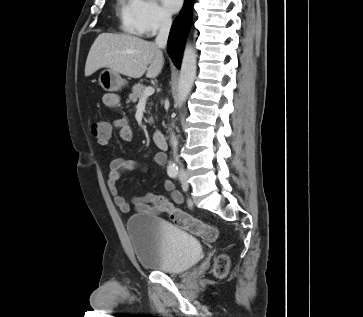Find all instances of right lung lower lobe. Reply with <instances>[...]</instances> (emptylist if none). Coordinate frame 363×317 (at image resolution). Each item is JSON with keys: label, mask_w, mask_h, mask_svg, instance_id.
Listing matches in <instances>:
<instances>
[{"label": "right lung lower lobe", "mask_w": 363, "mask_h": 317, "mask_svg": "<svg viewBox=\"0 0 363 317\" xmlns=\"http://www.w3.org/2000/svg\"><path fill=\"white\" fill-rule=\"evenodd\" d=\"M192 4L193 0H186L180 14L176 17L172 24L168 39V53L179 69L181 65L182 53L189 32L192 20Z\"/></svg>", "instance_id": "right-lung-lower-lobe-1"}]
</instances>
